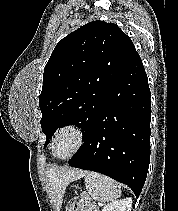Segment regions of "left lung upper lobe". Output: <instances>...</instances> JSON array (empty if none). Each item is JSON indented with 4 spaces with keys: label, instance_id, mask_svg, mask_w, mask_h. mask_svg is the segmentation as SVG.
<instances>
[{
    "label": "left lung upper lobe",
    "instance_id": "obj_1",
    "mask_svg": "<svg viewBox=\"0 0 178 211\" xmlns=\"http://www.w3.org/2000/svg\"><path fill=\"white\" fill-rule=\"evenodd\" d=\"M135 52L128 35L103 21L89 22L59 41L44 68L39 97L45 145L58 128L72 124L87 137Z\"/></svg>",
    "mask_w": 178,
    "mask_h": 211
}]
</instances>
